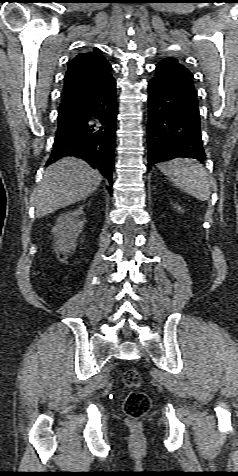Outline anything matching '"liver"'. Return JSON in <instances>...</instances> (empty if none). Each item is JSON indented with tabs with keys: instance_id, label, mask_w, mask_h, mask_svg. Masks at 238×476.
<instances>
[{
	"instance_id": "1",
	"label": "liver",
	"mask_w": 238,
	"mask_h": 476,
	"mask_svg": "<svg viewBox=\"0 0 238 476\" xmlns=\"http://www.w3.org/2000/svg\"><path fill=\"white\" fill-rule=\"evenodd\" d=\"M102 178L98 170L74 157H65L48 166L32 195L36 217L85 199L97 189Z\"/></svg>"
}]
</instances>
